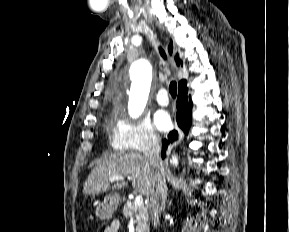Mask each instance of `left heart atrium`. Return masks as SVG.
Here are the masks:
<instances>
[{
    "label": "left heart atrium",
    "mask_w": 289,
    "mask_h": 232,
    "mask_svg": "<svg viewBox=\"0 0 289 232\" xmlns=\"http://www.w3.org/2000/svg\"><path fill=\"white\" fill-rule=\"evenodd\" d=\"M154 122L156 127L161 131H166L171 126V118L166 111H157L154 115Z\"/></svg>",
    "instance_id": "1"
}]
</instances>
